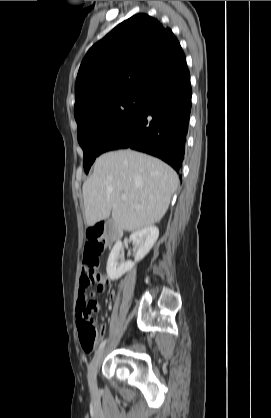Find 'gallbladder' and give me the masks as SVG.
Returning <instances> with one entry per match:
<instances>
[{"instance_id":"1","label":"gallbladder","mask_w":271,"mask_h":418,"mask_svg":"<svg viewBox=\"0 0 271 418\" xmlns=\"http://www.w3.org/2000/svg\"><path fill=\"white\" fill-rule=\"evenodd\" d=\"M120 230L115 226L112 218H108L106 221V233L108 236H119Z\"/></svg>"}]
</instances>
